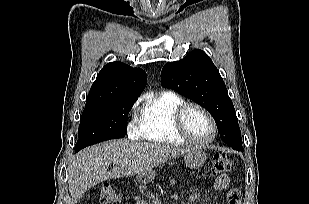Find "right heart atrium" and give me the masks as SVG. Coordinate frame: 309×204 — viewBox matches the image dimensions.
Instances as JSON below:
<instances>
[{"instance_id": "obj_1", "label": "right heart atrium", "mask_w": 309, "mask_h": 204, "mask_svg": "<svg viewBox=\"0 0 309 204\" xmlns=\"http://www.w3.org/2000/svg\"><path fill=\"white\" fill-rule=\"evenodd\" d=\"M129 134L131 136L138 137V129H137L136 125H131L129 127Z\"/></svg>"}]
</instances>
